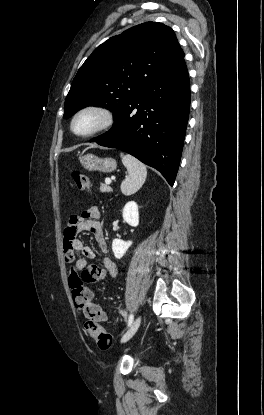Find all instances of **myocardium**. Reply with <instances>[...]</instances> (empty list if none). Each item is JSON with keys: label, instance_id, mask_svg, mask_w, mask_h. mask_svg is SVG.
Instances as JSON below:
<instances>
[{"label": "myocardium", "instance_id": "myocardium-1", "mask_svg": "<svg viewBox=\"0 0 264 415\" xmlns=\"http://www.w3.org/2000/svg\"><path fill=\"white\" fill-rule=\"evenodd\" d=\"M87 112H92V113H97L101 116V121L100 123L93 128L92 130H90L87 133H78L75 130V123L76 120L84 113ZM115 123V116L113 114V112L105 107V106H101V105H87L84 106L82 108H80L78 111L75 112V114L73 115L72 119H71V123H70V128L71 131L82 138H89V137H93L97 134H100L102 132H105L107 130H109L110 128H112V126Z\"/></svg>", "mask_w": 264, "mask_h": 415}]
</instances>
